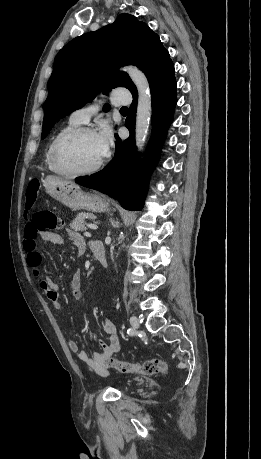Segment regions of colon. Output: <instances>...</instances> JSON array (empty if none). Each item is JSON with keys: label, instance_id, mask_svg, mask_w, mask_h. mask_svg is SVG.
Listing matches in <instances>:
<instances>
[{"label": "colon", "instance_id": "5ec220e1", "mask_svg": "<svg viewBox=\"0 0 261 459\" xmlns=\"http://www.w3.org/2000/svg\"><path fill=\"white\" fill-rule=\"evenodd\" d=\"M40 193V182L33 179L28 183L25 196V208L30 210L35 205ZM65 222L50 211L35 212L26 220L23 228L26 238H35L37 231L46 229H64ZM107 364L122 373H138L142 375H155L167 373V365L160 359L147 360L142 364L120 361L113 357L107 360Z\"/></svg>", "mask_w": 261, "mask_h": 459}]
</instances>
